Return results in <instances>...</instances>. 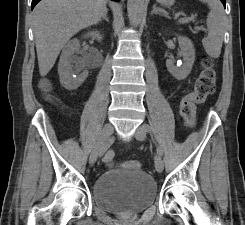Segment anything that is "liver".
<instances>
[{
	"instance_id": "obj_1",
	"label": "liver",
	"mask_w": 245,
	"mask_h": 225,
	"mask_svg": "<svg viewBox=\"0 0 245 225\" xmlns=\"http://www.w3.org/2000/svg\"><path fill=\"white\" fill-rule=\"evenodd\" d=\"M106 0H42L33 10V32L42 77L54 66L67 41L99 22Z\"/></svg>"
}]
</instances>
